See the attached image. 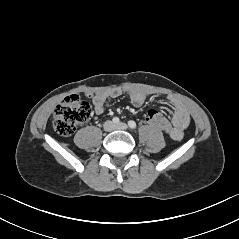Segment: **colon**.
<instances>
[{
    "mask_svg": "<svg viewBox=\"0 0 239 239\" xmlns=\"http://www.w3.org/2000/svg\"><path fill=\"white\" fill-rule=\"evenodd\" d=\"M90 103L78 95L65 97L55 108L53 116L54 130L62 136H70L76 130V127L91 116ZM146 125L156 127L161 131L169 129L171 122L166 114L159 108L152 107L147 110L144 116Z\"/></svg>",
    "mask_w": 239,
    "mask_h": 239,
    "instance_id": "obj_1",
    "label": "colon"
}]
</instances>
